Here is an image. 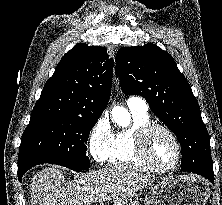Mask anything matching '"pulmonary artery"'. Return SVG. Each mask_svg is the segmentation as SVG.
<instances>
[{
	"label": "pulmonary artery",
	"instance_id": "e3ab8cb5",
	"mask_svg": "<svg viewBox=\"0 0 222 205\" xmlns=\"http://www.w3.org/2000/svg\"><path fill=\"white\" fill-rule=\"evenodd\" d=\"M127 106L130 109H136L143 112H147L148 110V105L146 101L140 97H135V96L129 97L127 99Z\"/></svg>",
	"mask_w": 222,
	"mask_h": 205
}]
</instances>
